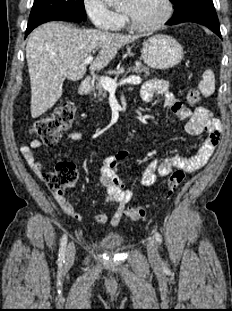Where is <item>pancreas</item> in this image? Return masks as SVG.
Instances as JSON below:
<instances>
[{"instance_id": "pancreas-1", "label": "pancreas", "mask_w": 232, "mask_h": 311, "mask_svg": "<svg viewBox=\"0 0 232 311\" xmlns=\"http://www.w3.org/2000/svg\"><path fill=\"white\" fill-rule=\"evenodd\" d=\"M132 72L144 74L146 77L150 75V69L142 66L141 62H137L136 65L132 67ZM92 90L94 92V97L97 96L100 101L107 96L106 89L102 87L100 81L92 85Z\"/></svg>"}]
</instances>
